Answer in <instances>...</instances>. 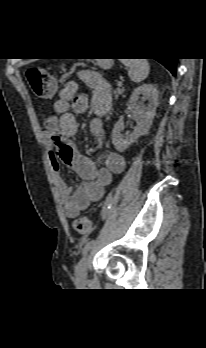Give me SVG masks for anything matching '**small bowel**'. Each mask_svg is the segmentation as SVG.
Masks as SVG:
<instances>
[{"mask_svg":"<svg viewBox=\"0 0 206 348\" xmlns=\"http://www.w3.org/2000/svg\"><path fill=\"white\" fill-rule=\"evenodd\" d=\"M80 83L91 90L90 99L80 93ZM58 96L53 105L55 115L45 121L44 135L66 216L74 219L91 203L102 199L113 175L125 169L126 160L121 154L109 151L104 157V166L96 168L88 158L77 152L70 141L79 129L75 115L85 113L89 108L95 115L89 125L91 134L97 138L105 134L103 116L111 107L112 94L109 83L99 73L80 71L77 81L65 83ZM61 163L85 180L75 191L60 176Z\"/></svg>","mask_w":206,"mask_h":348,"instance_id":"1","label":"small bowel"}]
</instances>
